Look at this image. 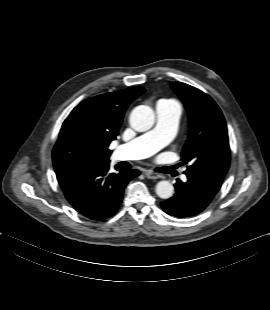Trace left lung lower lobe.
I'll return each instance as SVG.
<instances>
[{"mask_svg":"<svg viewBox=\"0 0 270 310\" xmlns=\"http://www.w3.org/2000/svg\"><path fill=\"white\" fill-rule=\"evenodd\" d=\"M188 180H177L175 195L161 203L164 211L172 216L185 218L205 210L219 191L223 178L207 176L197 172L185 173Z\"/></svg>","mask_w":270,"mask_h":310,"instance_id":"1","label":"left lung lower lobe"}]
</instances>
